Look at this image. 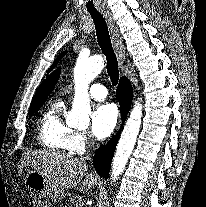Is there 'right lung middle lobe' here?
<instances>
[{
	"instance_id": "obj_1",
	"label": "right lung middle lobe",
	"mask_w": 206,
	"mask_h": 207,
	"mask_svg": "<svg viewBox=\"0 0 206 207\" xmlns=\"http://www.w3.org/2000/svg\"><path fill=\"white\" fill-rule=\"evenodd\" d=\"M40 107L41 106L29 109V117H32Z\"/></svg>"
}]
</instances>
